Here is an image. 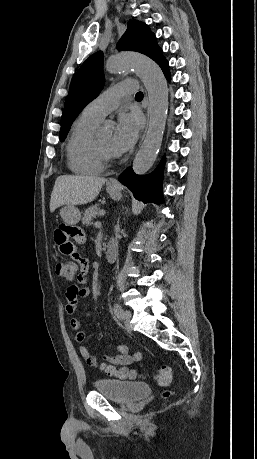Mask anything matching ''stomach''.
Returning <instances> with one entry per match:
<instances>
[{"instance_id":"obj_1","label":"stomach","mask_w":257,"mask_h":459,"mask_svg":"<svg viewBox=\"0 0 257 459\" xmlns=\"http://www.w3.org/2000/svg\"><path fill=\"white\" fill-rule=\"evenodd\" d=\"M107 192L114 200L121 198V192L119 188L107 187ZM60 215L65 223L77 224L80 221L81 213L75 205H66L60 210Z\"/></svg>"}]
</instances>
